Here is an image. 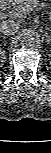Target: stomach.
<instances>
[{
    "label": "stomach",
    "instance_id": "0dacf381",
    "mask_svg": "<svg viewBox=\"0 0 51 153\" xmlns=\"http://www.w3.org/2000/svg\"><path fill=\"white\" fill-rule=\"evenodd\" d=\"M24 1H26V0H15V3H22Z\"/></svg>",
    "mask_w": 51,
    "mask_h": 153
}]
</instances>
